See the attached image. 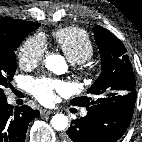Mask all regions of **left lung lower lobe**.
I'll return each mask as SVG.
<instances>
[{
    "label": "left lung lower lobe",
    "instance_id": "1",
    "mask_svg": "<svg viewBox=\"0 0 142 142\" xmlns=\"http://www.w3.org/2000/svg\"><path fill=\"white\" fill-rule=\"evenodd\" d=\"M135 101L94 104L87 115L72 122L63 142H116L126 131Z\"/></svg>",
    "mask_w": 142,
    "mask_h": 142
}]
</instances>
